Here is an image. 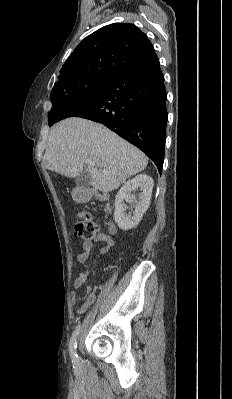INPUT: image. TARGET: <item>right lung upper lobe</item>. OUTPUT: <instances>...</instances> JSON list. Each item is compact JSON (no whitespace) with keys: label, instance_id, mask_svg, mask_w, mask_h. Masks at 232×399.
I'll return each mask as SVG.
<instances>
[{"label":"right lung upper lobe","instance_id":"obj_1","mask_svg":"<svg viewBox=\"0 0 232 399\" xmlns=\"http://www.w3.org/2000/svg\"><path fill=\"white\" fill-rule=\"evenodd\" d=\"M155 53L146 34L135 25L116 23L86 37L64 63L50 95L84 78H109Z\"/></svg>","mask_w":232,"mask_h":399}]
</instances>
